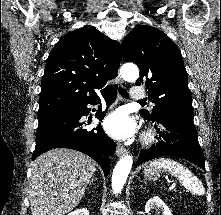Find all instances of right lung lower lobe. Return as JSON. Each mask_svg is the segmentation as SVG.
<instances>
[{"label": "right lung lower lobe", "instance_id": "right-lung-lower-lobe-1", "mask_svg": "<svg viewBox=\"0 0 221 215\" xmlns=\"http://www.w3.org/2000/svg\"><path fill=\"white\" fill-rule=\"evenodd\" d=\"M116 87L102 93L106 101L107 108L116 99ZM101 100L99 97L87 101L73 110L45 118L39 119L36 147L33 153L32 160L37 156L51 150L53 148H69L81 151L92 157L103 168L105 176L110 171V159L116 149V144L111 140L99 125L96 129H83V123L80 121L81 117L88 115L90 109L87 104H99ZM98 110L96 117L102 120L105 112Z\"/></svg>", "mask_w": 221, "mask_h": 215}]
</instances>
